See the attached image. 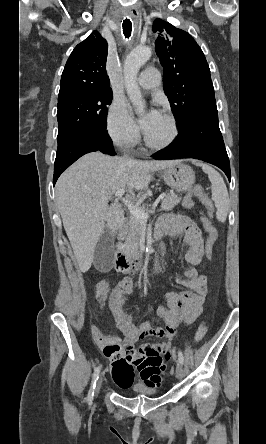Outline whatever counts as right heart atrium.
<instances>
[{
  "mask_svg": "<svg viewBox=\"0 0 266 444\" xmlns=\"http://www.w3.org/2000/svg\"><path fill=\"white\" fill-rule=\"evenodd\" d=\"M106 129L112 141L120 146L134 145L139 137L138 125L125 101L114 99L106 117Z\"/></svg>",
  "mask_w": 266,
  "mask_h": 444,
  "instance_id": "d8ad5b80",
  "label": "right heart atrium"
}]
</instances>
